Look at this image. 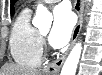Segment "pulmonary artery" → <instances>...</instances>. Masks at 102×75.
<instances>
[{
  "mask_svg": "<svg viewBox=\"0 0 102 75\" xmlns=\"http://www.w3.org/2000/svg\"><path fill=\"white\" fill-rule=\"evenodd\" d=\"M40 3H52V2H54L53 0H43V1H39Z\"/></svg>",
  "mask_w": 102,
  "mask_h": 75,
  "instance_id": "pulmonary-artery-1",
  "label": "pulmonary artery"
}]
</instances>
